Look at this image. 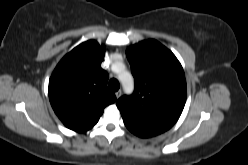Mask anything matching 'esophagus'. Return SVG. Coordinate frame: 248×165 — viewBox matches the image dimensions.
Listing matches in <instances>:
<instances>
[{"instance_id":"1","label":"esophagus","mask_w":248,"mask_h":165,"mask_svg":"<svg viewBox=\"0 0 248 165\" xmlns=\"http://www.w3.org/2000/svg\"><path fill=\"white\" fill-rule=\"evenodd\" d=\"M121 94H122V91L121 90H118L117 92H115L116 98L117 99L120 98Z\"/></svg>"}]
</instances>
